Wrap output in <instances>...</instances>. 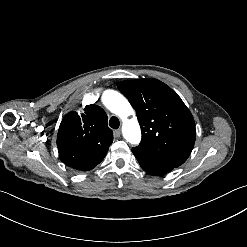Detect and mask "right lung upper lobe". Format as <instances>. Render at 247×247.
Segmentation results:
<instances>
[{"instance_id":"cb5924a9","label":"right lung upper lobe","mask_w":247,"mask_h":247,"mask_svg":"<svg viewBox=\"0 0 247 247\" xmlns=\"http://www.w3.org/2000/svg\"><path fill=\"white\" fill-rule=\"evenodd\" d=\"M107 121L105 111L95 104L87 105L81 115L77 112L66 114L57 135L61 161L78 171L95 168L113 141Z\"/></svg>"}]
</instances>
